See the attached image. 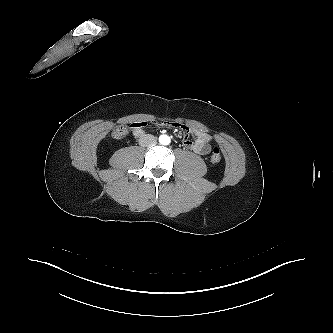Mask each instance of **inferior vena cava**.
<instances>
[{
	"label": "inferior vena cava",
	"instance_id": "inferior-vena-cava-1",
	"mask_svg": "<svg viewBox=\"0 0 333 333\" xmlns=\"http://www.w3.org/2000/svg\"><path fill=\"white\" fill-rule=\"evenodd\" d=\"M156 144V138L151 134H146L139 139V145L142 147H150Z\"/></svg>",
	"mask_w": 333,
	"mask_h": 333
}]
</instances>
